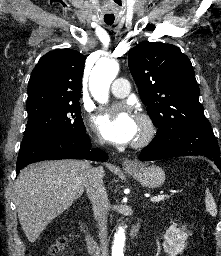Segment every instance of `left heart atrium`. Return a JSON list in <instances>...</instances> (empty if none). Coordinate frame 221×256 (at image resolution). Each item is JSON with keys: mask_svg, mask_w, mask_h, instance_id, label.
<instances>
[{"mask_svg": "<svg viewBox=\"0 0 221 256\" xmlns=\"http://www.w3.org/2000/svg\"><path fill=\"white\" fill-rule=\"evenodd\" d=\"M95 124L105 139L120 144L134 140L139 130L138 119L127 108L102 113Z\"/></svg>", "mask_w": 221, "mask_h": 256, "instance_id": "39dd6f15", "label": "left heart atrium"}]
</instances>
